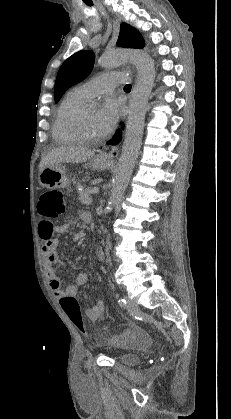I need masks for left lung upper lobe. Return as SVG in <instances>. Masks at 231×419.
<instances>
[{
  "mask_svg": "<svg viewBox=\"0 0 231 419\" xmlns=\"http://www.w3.org/2000/svg\"><path fill=\"white\" fill-rule=\"evenodd\" d=\"M118 46L143 48L145 43L141 34L126 23H122L117 41ZM95 55L92 51H79L70 56L60 67L54 88L57 103L63 93L72 85L85 79L93 68Z\"/></svg>",
  "mask_w": 231,
  "mask_h": 419,
  "instance_id": "1",
  "label": "left lung upper lobe"
}]
</instances>
